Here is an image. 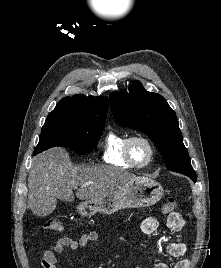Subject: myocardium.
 Wrapping results in <instances>:
<instances>
[{
  "label": "myocardium",
  "instance_id": "1",
  "mask_svg": "<svg viewBox=\"0 0 221 268\" xmlns=\"http://www.w3.org/2000/svg\"><path fill=\"white\" fill-rule=\"evenodd\" d=\"M135 141L143 142L148 148V158L144 163L139 164V163L135 162L133 157H132L131 145ZM124 155H125L126 160L132 165V167L144 168V167L148 166L151 163V161L153 160L154 145H153L152 141L145 135H141V134L132 135V136L128 137L127 140L125 141Z\"/></svg>",
  "mask_w": 221,
  "mask_h": 268
}]
</instances>
